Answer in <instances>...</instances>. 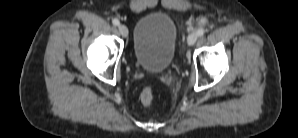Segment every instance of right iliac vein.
Here are the masks:
<instances>
[{
  "instance_id": "right-iliac-vein-1",
  "label": "right iliac vein",
  "mask_w": 298,
  "mask_h": 138,
  "mask_svg": "<svg viewBox=\"0 0 298 138\" xmlns=\"http://www.w3.org/2000/svg\"><path fill=\"white\" fill-rule=\"evenodd\" d=\"M119 32L123 37H127L128 35V28L125 25H119Z\"/></svg>"
}]
</instances>
